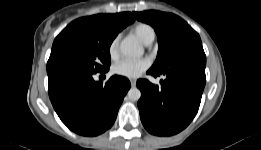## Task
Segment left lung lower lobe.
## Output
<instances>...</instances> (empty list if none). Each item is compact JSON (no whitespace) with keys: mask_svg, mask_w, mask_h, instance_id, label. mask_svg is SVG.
Returning a JSON list of instances; mask_svg holds the SVG:
<instances>
[{"mask_svg":"<svg viewBox=\"0 0 261 150\" xmlns=\"http://www.w3.org/2000/svg\"><path fill=\"white\" fill-rule=\"evenodd\" d=\"M204 50H188L175 57L163 69H149L147 74L166 76L161 86L139 79L140 118L145 129L158 136L182 131L195 117L206 83Z\"/></svg>","mask_w":261,"mask_h":150,"instance_id":"obj_1","label":"left lung lower lobe"}]
</instances>
